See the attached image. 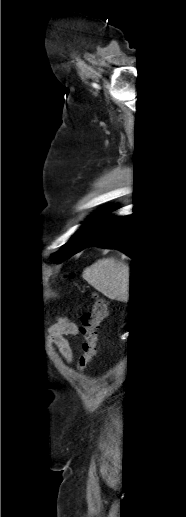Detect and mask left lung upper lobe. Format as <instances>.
Segmentation results:
<instances>
[{
  "label": "left lung upper lobe",
  "mask_w": 186,
  "mask_h": 517,
  "mask_svg": "<svg viewBox=\"0 0 186 517\" xmlns=\"http://www.w3.org/2000/svg\"><path fill=\"white\" fill-rule=\"evenodd\" d=\"M104 212L105 210H102L90 218V223L83 225L57 253L52 255V261L59 263L77 253L91 237L95 224L103 216Z\"/></svg>",
  "instance_id": "1"
}]
</instances>
